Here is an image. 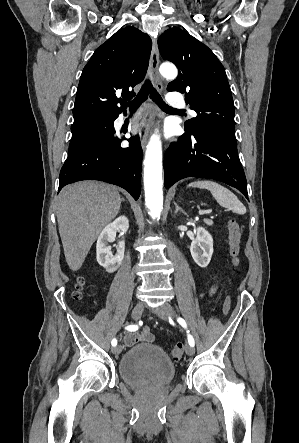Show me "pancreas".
Here are the masks:
<instances>
[{
    "mask_svg": "<svg viewBox=\"0 0 299 443\" xmlns=\"http://www.w3.org/2000/svg\"><path fill=\"white\" fill-rule=\"evenodd\" d=\"M204 223L211 226L213 224V221L210 219H204Z\"/></svg>",
    "mask_w": 299,
    "mask_h": 443,
    "instance_id": "pancreas-1",
    "label": "pancreas"
}]
</instances>
